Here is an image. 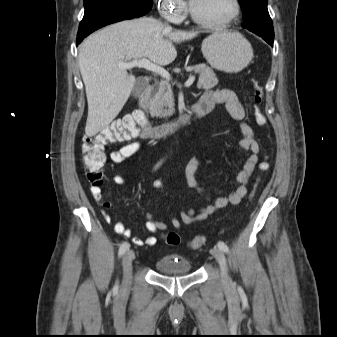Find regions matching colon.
<instances>
[{"instance_id": "1", "label": "colon", "mask_w": 337, "mask_h": 337, "mask_svg": "<svg viewBox=\"0 0 337 337\" xmlns=\"http://www.w3.org/2000/svg\"><path fill=\"white\" fill-rule=\"evenodd\" d=\"M253 87V114L257 125H266V117L261 108L263 101V86L254 79L252 80ZM138 131V127L133 117H124L110 123L96 134L85 135L82 139L81 153L84 163V172L88 181L92 185L100 186L103 182L102 167L106 161L104 148L107 145L122 142L131 136H134ZM269 168L268 158L265 157L258 165L259 172H265ZM259 177L256 179L253 189L250 193V197L253 196ZM164 241L168 245H178L180 243V236L174 231L166 232L164 235ZM205 243L203 236H195L189 242L191 249H199Z\"/></svg>"}]
</instances>
